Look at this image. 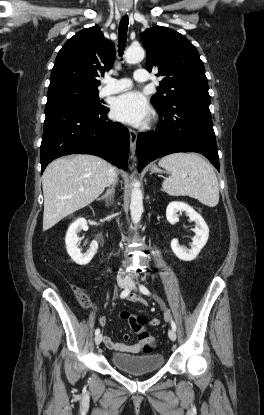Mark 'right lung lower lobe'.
I'll return each instance as SVG.
<instances>
[{
	"label": "right lung lower lobe",
	"instance_id": "right-lung-lower-lobe-1",
	"mask_svg": "<svg viewBox=\"0 0 264 415\" xmlns=\"http://www.w3.org/2000/svg\"><path fill=\"white\" fill-rule=\"evenodd\" d=\"M109 108L97 111L64 109L46 113L41 142V174L54 159L69 154H92L126 170L129 131L108 120Z\"/></svg>",
	"mask_w": 264,
	"mask_h": 415
}]
</instances>
